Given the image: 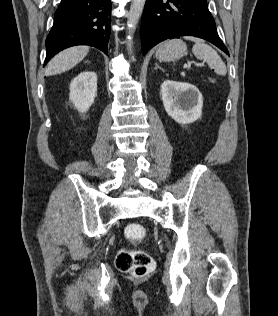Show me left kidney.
<instances>
[{"mask_svg":"<svg viewBox=\"0 0 278 316\" xmlns=\"http://www.w3.org/2000/svg\"><path fill=\"white\" fill-rule=\"evenodd\" d=\"M161 95L166 112L177 123L190 124L201 117L203 97L194 85L166 80Z\"/></svg>","mask_w":278,"mask_h":316,"instance_id":"left-kidney-1","label":"left kidney"}]
</instances>
